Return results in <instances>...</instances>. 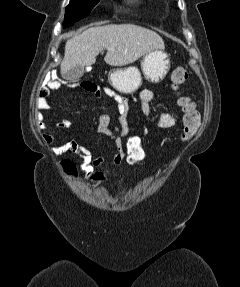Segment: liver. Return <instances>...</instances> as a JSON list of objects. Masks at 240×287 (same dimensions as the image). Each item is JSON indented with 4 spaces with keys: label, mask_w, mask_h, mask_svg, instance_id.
Masks as SVG:
<instances>
[{
    "label": "liver",
    "mask_w": 240,
    "mask_h": 287,
    "mask_svg": "<svg viewBox=\"0 0 240 287\" xmlns=\"http://www.w3.org/2000/svg\"><path fill=\"white\" fill-rule=\"evenodd\" d=\"M164 41L156 32L134 24L91 27L65 44L61 73L77 65L90 66L97 55L107 49L104 60L111 66H124L138 60L153 49H164Z\"/></svg>",
    "instance_id": "obj_1"
}]
</instances>
